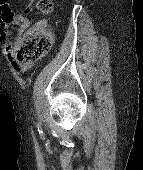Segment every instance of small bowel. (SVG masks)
Segmentation results:
<instances>
[{"label":"small bowel","instance_id":"1","mask_svg":"<svg viewBox=\"0 0 143 170\" xmlns=\"http://www.w3.org/2000/svg\"><path fill=\"white\" fill-rule=\"evenodd\" d=\"M33 9L32 2H29L23 13L21 14H15L14 18L10 22L6 23H0V38L2 41L6 42V51L7 56L9 58V61L13 67V70L18 73L22 74L31 69L34 65L33 62H26L22 63L16 60L15 57V51L19 46L20 40H21V34L28 28L29 21L26 18V15H28ZM13 25H18V33L19 35L15 37L13 40H11V27Z\"/></svg>","mask_w":143,"mask_h":170}]
</instances>
